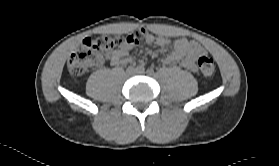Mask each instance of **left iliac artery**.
Here are the masks:
<instances>
[{
  "label": "left iliac artery",
  "mask_w": 279,
  "mask_h": 166,
  "mask_svg": "<svg viewBox=\"0 0 279 166\" xmlns=\"http://www.w3.org/2000/svg\"><path fill=\"white\" fill-rule=\"evenodd\" d=\"M147 74H148V75H153V74H154V70H153L152 68H149V69L147 70Z\"/></svg>",
  "instance_id": "left-iliac-artery-1"
}]
</instances>
